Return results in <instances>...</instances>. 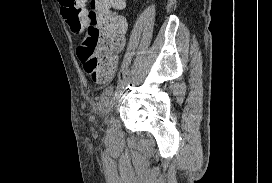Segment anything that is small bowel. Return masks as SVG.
I'll return each instance as SVG.
<instances>
[{"mask_svg": "<svg viewBox=\"0 0 272 183\" xmlns=\"http://www.w3.org/2000/svg\"><path fill=\"white\" fill-rule=\"evenodd\" d=\"M113 73H114V71L106 79H103V80L98 79V78H94V77L93 78L97 82H105V81H108L111 78V76L113 75Z\"/></svg>", "mask_w": 272, "mask_h": 183, "instance_id": "small-bowel-1", "label": "small bowel"}]
</instances>
